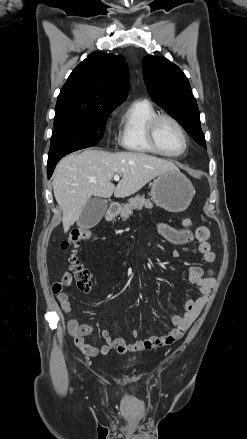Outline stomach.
<instances>
[{
  "instance_id": "1",
  "label": "stomach",
  "mask_w": 247,
  "mask_h": 439,
  "mask_svg": "<svg viewBox=\"0 0 247 439\" xmlns=\"http://www.w3.org/2000/svg\"><path fill=\"white\" fill-rule=\"evenodd\" d=\"M195 194L190 180L179 169L157 176L152 184L151 197L161 208L181 212L188 208Z\"/></svg>"
}]
</instances>
